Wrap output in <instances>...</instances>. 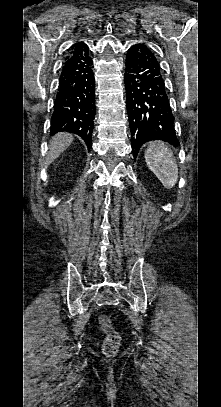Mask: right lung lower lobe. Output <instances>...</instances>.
<instances>
[{
    "mask_svg": "<svg viewBox=\"0 0 221 407\" xmlns=\"http://www.w3.org/2000/svg\"><path fill=\"white\" fill-rule=\"evenodd\" d=\"M65 60L59 77L50 134L62 131L77 134L90 149L95 116V78L88 46L84 44L75 49Z\"/></svg>",
    "mask_w": 221,
    "mask_h": 407,
    "instance_id": "right-lung-lower-lobe-1",
    "label": "right lung lower lobe"
}]
</instances>
